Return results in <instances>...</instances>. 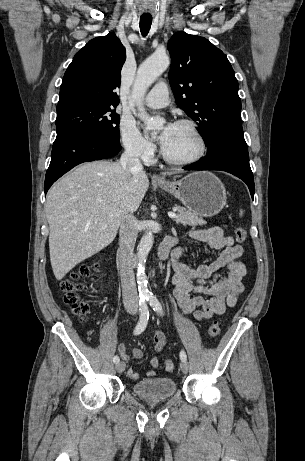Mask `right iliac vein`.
Segmentation results:
<instances>
[{
  "label": "right iliac vein",
  "instance_id": "63e3f726",
  "mask_svg": "<svg viewBox=\"0 0 305 461\" xmlns=\"http://www.w3.org/2000/svg\"><path fill=\"white\" fill-rule=\"evenodd\" d=\"M131 313H134V310H130ZM116 370L118 373H122L125 370V363L124 362H119L116 364Z\"/></svg>",
  "mask_w": 305,
  "mask_h": 461
}]
</instances>
